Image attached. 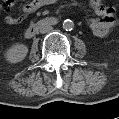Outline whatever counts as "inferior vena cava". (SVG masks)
<instances>
[{
  "mask_svg": "<svg viewBox=\"0 0 119 119\" xmlns=\"http://www.w3.org/2000/svg\"><path fill=\"white\" fill-rule=\"evenodd\" d=\"M51 30H52V26L45 24V25L41 26L40 33H49Z\"/></svg>",
  "mask_w": 119,
  "mask_h": 119,
  "instance_id": "inferior-vena-cava-1",
  "label": "inferior vena cava"
}]
</instances>
